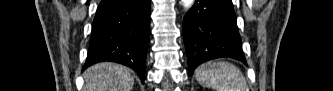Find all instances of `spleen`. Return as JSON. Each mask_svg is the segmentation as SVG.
Masks as SVG:
<instances>
[{
  "label": "spleen",
  "mask_w": 333,
  "mask_h": 91,
  "mask_svg": "<svg viewBox=\"0 0 333 91\" xmlns=\"http://www.w3.org/2000/svg\"><path fill=\"white\" fill-rule=\"evenodd\" d=\"M199 84L215 91H248L242 72L228 62H209L195 70Z\"/></svg>",
  "instance_id": "3e777b00"
}]
</instances>
